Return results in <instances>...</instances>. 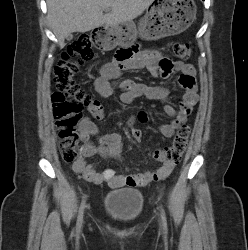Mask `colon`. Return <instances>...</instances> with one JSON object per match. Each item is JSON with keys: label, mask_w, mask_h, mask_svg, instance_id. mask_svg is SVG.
Instances as JSON below:
<instances>
[{"label": "colon", "mask_w": 248, "mask_h": 250, "mask_svg": "<svg viewBox=\"0 0 248 250\" xmlns=\"http://www.w3.org/2000/svg\"><path fill=\"white\" fill-rule=\"evenodd\" d=\"M93 39L92 36L83 34L71 42L55 68V83L58 90L52 95L53 115L61 155L68 163H76L80 157L77 125L81 112L84 108L97 104V101L88 96L74 80L79 66L94 58ZM171 48L178 58L188 59L191 56V45L187 42L173 43ZM129 51L130 49L121 50L117 54V60L125 61L129 57ZM190 133L189 124L185 123L180 127L172 144L163 150L167 161L172 164L179 162L188 147ZM132 136L139 140L141 135L138 130H134Z\"/></svg>", "instance_id": "5ec220e1"}]
</instances>
